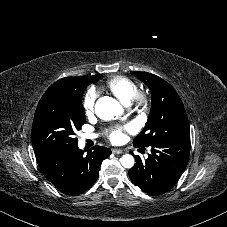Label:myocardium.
<instances>
[{
  "instance_id": "myocardium-1",
  "label": "myocardium",
  "mask_w": 227,
  "mask_h": 227,
  "mask_svg": "<svg viewBox=\"0 0 227 227\" xmlns=\"http://www.w3.org/2000/svg\"><path fill=\"white\" fill-rule=\"evenodd\" d=\"M129 104L139 115H145L150 108V96L146 92L137 91Z\"/></svg>"
}]
</instances>
